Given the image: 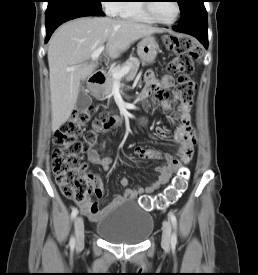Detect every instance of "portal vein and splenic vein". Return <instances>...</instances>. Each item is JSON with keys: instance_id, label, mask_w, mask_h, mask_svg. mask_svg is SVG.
Segmentation results:
<instances>
[{"instance_id": "1", "label": "portal vein and splenic vein", "mask_w": 258, "mask_h": 275, "mask_svg": "<svg viewBox=\"0 0 258 275\" xmlns=\"http://www.w3.org/2000/svg\"><path fill=\"white\" fill-rule=\"evenodd\" d=\"M104 48H105L104 45L97 48L91 55L92 60H97L100 54L103 52ZM76 69L77 67H69L67 68V71H74ZM129 70H130V66H125L121 70H116V68H113L112 72H113L114 79H121L125 74L129 72Z\"/></svg>"}]
</instances>
